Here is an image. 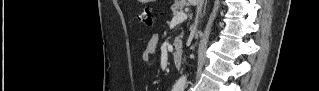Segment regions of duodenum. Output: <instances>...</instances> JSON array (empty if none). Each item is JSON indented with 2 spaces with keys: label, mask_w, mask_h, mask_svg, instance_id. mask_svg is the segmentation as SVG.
<instances>
[{
  "label": "duodenum",
  "mask_w": 319,
  "mask_h": 91,
  "mask_svg": "<svg viewBox=\"0 0 319 91\" xmlns=\"http://www.w3.org/2000/svg\"><path fill=\"white\" fill-rule=\"evenodd\" d=\"M173 59H174L175 65L177 67H180L182 65V60H183L182 51L179 49L174 50L173 51Z\"/></svg>",
  "instance_id": "duodenum-1"
}]
</instances>
